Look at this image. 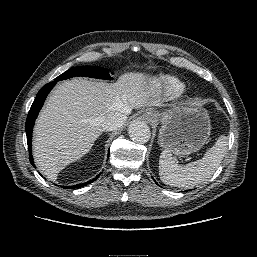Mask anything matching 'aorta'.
I'll use <instances>...</instances> for the list:
<instances>
[{
    "mask_svg": "<svg viewBox=\"0 0 257 257\" xmlns=\"http://www.w3.org/2000/svg\"><path fill=\"white\" fill-rule=\"evenodd\" d=\"M130 138L138 143H146L150 139L149 126L140 120H133L128 127Z\"/></svg>",
    "mask_w": 257,
    "mask_h": 257,
    "instance_id": "762f6f07",
    "label": "aorta"
}]
</instances>
